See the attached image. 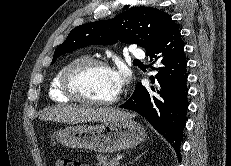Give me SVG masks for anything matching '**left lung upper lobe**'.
<instances>
[{
    "label": "left lung upper lobe",
    "mask_w": 231,
    "mask_h": 166,
    "mask_svg": "<svg viewBox=\"0 0 231 166\" xmlns=\"http://www.w3.org/2000/svg\"><path fill=\"white\" fill-rule=\"evenodd\" d=\"M177 26L171 16L150 7H133L109 19L75 27L59 45L53 56H59L88 45H110L118 40L140 44L146 52L158 45Z\"/></svg>",
    "instance_id": "5c2ea615"
}]
</instances>
